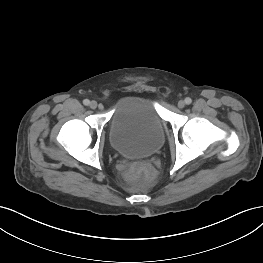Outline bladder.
I'll list each match as a JSON object with an SVG mask.
<instances>
[{
  "instance_id": "bladder-1",
  "label": "bladder",
  "mask_w": 263,
  "mask_h": 263,
  "mask_svg": "<svg viewBox=\"0 0 263 263\" xmlns=\"http://www.w3.org/2000/svg\"><path fill=\"white\" fill-rule=\"evenodd\" d=\"M112 148L127 158L156 154L164 144L165 132L154 101L142 96L121 98L108 123Z\"/></svg>"
}]
</instances>
